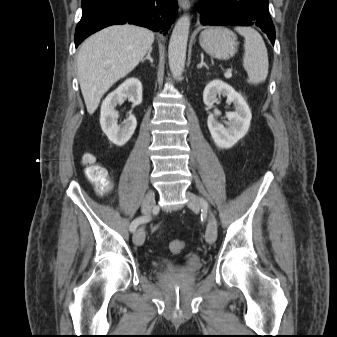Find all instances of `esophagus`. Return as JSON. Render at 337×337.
I'll return each instance as SVG.
<instances>
[{
    "instance_id": "obj_1",
    "label": "esophagus",
    "mask_w": 337,
    "mask_h": 337,
    "mask_svg": "<svg viewBox=\"0 0 337 337\" xmlns=\"http://www.w3.org/2000/svg\"><path fill=\"white\" fill-rule=\"evenodd\" d=\"M178 4H179L180 8H182L184 10H188L191 6L189 0H178Z\"/></svg>"
}]
</instances>
